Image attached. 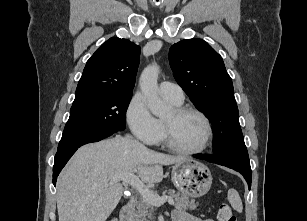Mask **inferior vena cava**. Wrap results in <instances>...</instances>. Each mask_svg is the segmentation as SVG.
Listing matches in <instances>:
<instances>
[{
    "label": "inferior vena cava",
    "mask_w": 307,
    "mask_h": 221,
    "mask_svg": "<svg viewBox=\"0 0 307 221\" xmlns=\"http://www.w3.org/2000/svg\"><path fill=\"white\" fill-rule=\"evenodd\" d=\"M127 138H131V136H127Z\"/></svg>",
    "instance_id": "1"
}]
</instances>
